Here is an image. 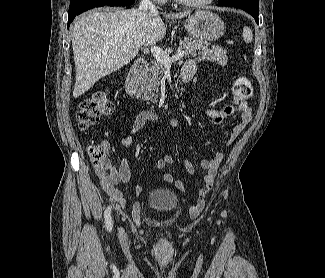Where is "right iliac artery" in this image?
Here are the masks:
<instances>
[{
  "instance_id": "82829eb1",
  "label": "right iliac artery",
  "mask_w": 325,
  "mask_h": 278,
  "mask_svg": "<svg viewBox=\"0 0 325 278\" xmlns=\"http://www.w3.org/2000/svg\"><path fill=\"white\" fill-rule=\"evenodd\" d=\"M104 217H105L106 228L108 231H111L113 224H112L111 207L110 206H108L107 209L105 210Z\"/></svg>"
}]
</instances>
